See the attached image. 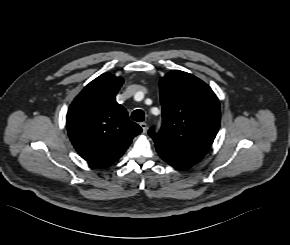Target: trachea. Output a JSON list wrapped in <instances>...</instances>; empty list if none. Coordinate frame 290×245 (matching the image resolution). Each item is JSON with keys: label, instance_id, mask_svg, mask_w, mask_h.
<instances>
[{"label": "trachea", "instance_id": "3493384b", "mask_svg": "<svg viewBox=\"0 0 290 245\" xmlns=\"http://www.w3.org/2000/svg\"><path fill=\"white\" fill-rule=\"evenodd\" d=\"M144 117H145L144 112L140 109L135 110L131 115L132 120H134L136 122L144 121Z\"/></svg>", "mask_w": 290, "mask_h": 245}]
</instances>
